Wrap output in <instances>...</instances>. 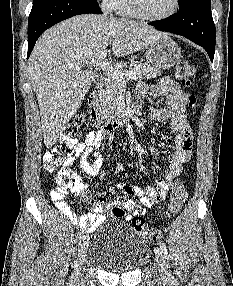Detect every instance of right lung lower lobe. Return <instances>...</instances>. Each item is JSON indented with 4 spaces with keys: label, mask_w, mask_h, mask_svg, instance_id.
Wrapping results in <instances>:
<instances>
[{
    "label": "right lung lower lobe",
    "mask_w": 233,
    "mask_h": 286,
    "mask_svg": "<svg viewBox=\"0 0 233 286\" xmlns=\"http://www.w3.org/2000/svg\"><path fill=\"white\" fill-rule=\"evenodd\" d=\"M85 13L103 12L99 5L88 0H44L33 5L28 19V57L46 29L62 20Z\"/></svg>",
    "instance_id": "1"
}]
</instances>
